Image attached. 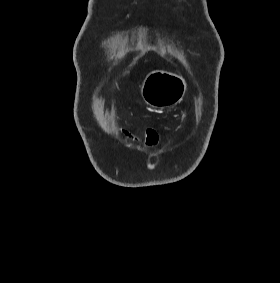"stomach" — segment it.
<instances>
[{
    "mask_svg": "<svg viewBox=\"0 0 280 283\" xmlns=\"http://www.w3.org/2000/svg\"><path fill=\"white\" fill-rule=\"evenodd\" d=\"M185 79L161 70L146 75L141 86L143 100L154 108H167L178 104L186 92Z\"/></svg>",
    "mask_w": 280,
    "mask_h": 283,
    "instance_id": "stomach-1",
    "label": "stomach"
}]
</instances>
